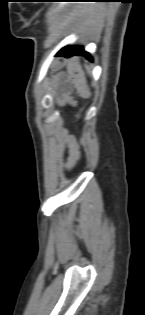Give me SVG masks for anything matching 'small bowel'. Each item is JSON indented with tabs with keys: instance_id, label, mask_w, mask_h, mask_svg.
<instances>
[{
	"instance_id": "c3829d8e",
	"label": "small bowel",
	"mask_w": 145,
	"mask_h": 315,
	"mask_svg": "<svg viewBox=\"0 0 145 315\" xmlns=\"http://www.w3.org/2000/svg\"><path fill=\"white\" fill-rule=\"evenodd\" d=\"M66 136H67V141L70 144V152H71L69 163L72 164L75 161V159L77 158V149L74 146L73 138L68 136V135H66Z\"/></svg>"
}]
</instances>
